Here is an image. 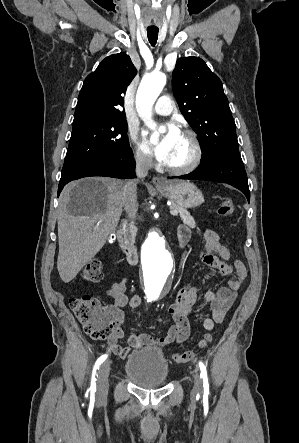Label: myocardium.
<instances>
[{
    "label": "myocardium",
    "mask_w": 299,
    "mask_h": 443,
    "mask_svg": "<svg viewBox=\"0 0 299 443\" xmlns=\"http://www.w3.org/2000/svg\"><path fill=\"white\" fill-rule=\"evenodd\" d=\"M181 134L184 135L185 137H187L191 143L192 156H191L189 162L183 166H170L167 164L163 165L165 170H167L168 172H171L173 174H177V175L187 174V173H190L193 170H195L199 166V164L201 163V160L203 157L202 146H201V143L199 141L197 134L193 130H190V129H184L181 132Z\"/></svg>",
    "instance_id": "1"
}]
</instances>
